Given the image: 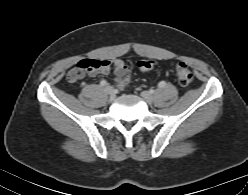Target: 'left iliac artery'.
Wrapping results in <instances>:
<instances>
[{"mask_svg":"<svg viewBox=\"0 0 248 195\" xmlns=\"http://www.w3.org/2000/svg\"><path fill=\"white\" fill-rule=\"evenodd\" d=\"M166 85V82L165 81H161L159 84H158V87L162 88Z\"/></svg>","mask_w":248,"mask_h":195,"instance_id":"obj_1","label":"left iliac artery"}]
</instances>
